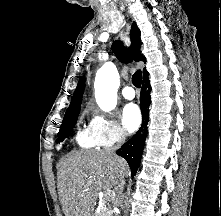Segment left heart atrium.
Returning <instances> with one entry per match:
<instances>
[{
  "instance_id": "39dd6f15",
  "label": "left heart atrium",
  "mask_w": 221,
  "mask_h": 216,
  "mask_svg": "<svg viewBox=\"0 0 221 216\" xmlns=\"http://www.w3.org/2000/svg\"><path fill=\"white\" fill-rule=\"evenodd\" d=\"M122 121L129 132L138 129L141 124V113L136 104L129 103L123 108Z\"/></svg>"
}]
</instances>
